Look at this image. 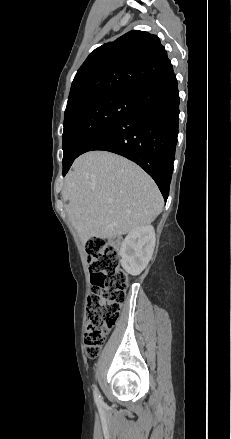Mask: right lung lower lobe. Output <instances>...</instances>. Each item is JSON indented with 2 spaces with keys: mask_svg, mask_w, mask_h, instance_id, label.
Wrapping results in <instances>:
<instances>
[{
  "mask_svg": "<svg viewBox=\"0 0 231 439\" xmlns=\"http://www.w3.org/2000/svg\"><path fill=\"white\" fill-rule=\"evenodd\" d=\"M134 97L136 110L96 132L79 155L105 150L130 159L154 179L166 201L179 121V91L173 70L138 89ZM70 166L63 169V175Z\"/></svg>",
  "mask_w": 231,
  "mask_h": 439,
  "instance_id": "1",
  "label": "right lung lower lobe"
}]
</instances>
